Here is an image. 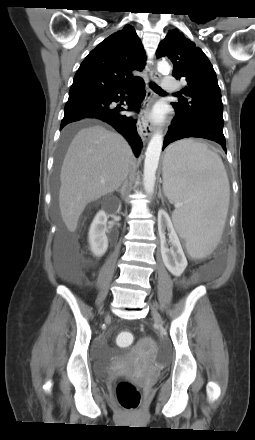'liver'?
<instances>
[{
	"label": "liver",
	"instance_id": "6515ba94",
	"mask_svg": "<svg viewBox=\"0 0 255 440\" xmlns=\"http://www.w3.org/2000/svg\"><path fill=\"white\" fill-rule=\"evenodd\" d=\"M132 160L131 147L116 132L96 125L75 135L60 173L59 208L69 231L76 230L88 203L120 187Z\"/></svg>",
	"mask_w": 255,
	"mask_h": 440
}]
</instances>
